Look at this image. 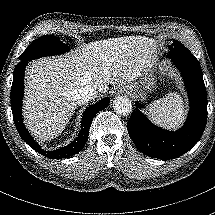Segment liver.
<instances>
[{
	"label": "liver",
	"mask_w": 215,
	"mask_h": 215,
	"mask_svg": "<svg viewBox=\"0 0 215 215\" xmlns=\"http://www.w3.org/2000/svg\"><path fill=\"white\" fill-rule=\"evenodd\" d=\"M153 46L147 37L125 36L94 41L72 57L33 62L26 74L27 127L38 139L52 140L75 112L79 87L89 85L105 94L108 85L137 81L154 58Z\"/></svg>",
	"instance_id": "1"
}]
</instances>
